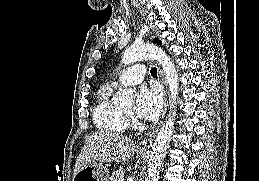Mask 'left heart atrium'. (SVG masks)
<instances>
[{"mask_svg": "<svg viewBox=\"0 0 259 181\" xmlns=\"http://www.w3.org/2000/svg\"><path fill=\"white\" fill-rule=\"evenodd\" d=\"M162 107V96L160 90L152 86L142 87L136 99V114L143 120H152L158 116Z\"/></svg>", "mask_w": 259, "mask_h": 181, "instance_id": "obj_1", "label": "left heart atrium"}]
</instances>
